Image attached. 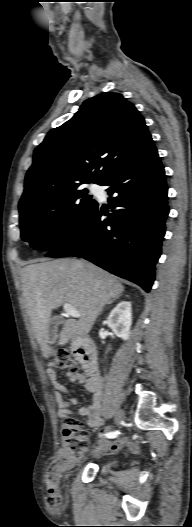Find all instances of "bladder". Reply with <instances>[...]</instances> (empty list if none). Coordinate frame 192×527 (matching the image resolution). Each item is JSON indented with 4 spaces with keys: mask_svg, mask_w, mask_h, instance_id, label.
<instances>
[{
    "mask_svg": "<svg viewBox=\"0 0 192 527\" xmlns=\"http://www.w3.org/2000/svg\"><path fill=\"white\" fill-rule=\"evenodd\" d=\"M114 465V461L111 459H108L104 462V466L110 467Z\"/></svg>",
    "mask_w": 192,
    "mask_h": 527,
    "instance_id": "31cf9c89",
    "label": "bladder"
}]
</instances>
